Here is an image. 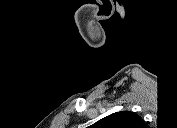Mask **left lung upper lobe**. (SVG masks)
I'll list each match as a JSON object with an SVG mask.
<instances>
[{
    "instance_id": "left-lung-upper-lobe-1",
    "label": "left lung upper lobe",
    "mask_w": 177,
    "mask_h": 128,
    "mask_svg": "<svg viewBox=\"0 0 177 128\" xmlns=\"http://www.w3.org/2000/svg\"><path fill=\"white\" fill-rule=\"evenodd\" d=\"M96 125L98 128H145L143 119L131 111L113 113L96 122Z\"/></svg>"
}]
</instances>
